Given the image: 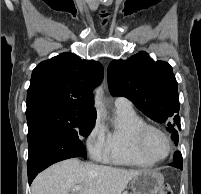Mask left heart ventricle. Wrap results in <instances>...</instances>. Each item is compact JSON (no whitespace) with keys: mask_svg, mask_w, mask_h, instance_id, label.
<instances>
[{"mask_svg":"<svg viewBox=\"0 0 201 194\" xmlns=\"http://www.w3.org/2000/svg\"><path fill=\"white\" fill-rule=\"evenodd\" d=\"M145 146L148 153L155 158L165 156L168 151V145L165 138L157 131L148 132Z\"/></svg>","mask_w":201,"mask_h":194,"instance_id":"obj_1","label":"left heart ventricle"}]
</instances>
